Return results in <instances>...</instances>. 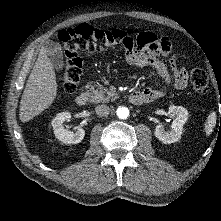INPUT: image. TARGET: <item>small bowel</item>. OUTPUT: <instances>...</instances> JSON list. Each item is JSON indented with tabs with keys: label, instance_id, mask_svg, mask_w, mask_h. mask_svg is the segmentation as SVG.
I'll use <instances>...</instances> for the list:
<instances>
[{
	"label": "small bowel",
	"instance_id": "obj_1",
	"mask_svg": "<svg viewBox=\"0 0 221 221\" xmlns=\"http://www.w3.org/2000/svg\"><path fill=\"white\" fill-rule=\"evenodd\" d=\"M125 48L126 61L135 66L153 68L166 82L171 83L174 88L183 90L187 85V74L183 68L178 66L174 58L171 59L168 68L158 57L169 56L171 43L167 37H159L152 32H141ZM146 102L153 101L163 96V91L145 88L139 91Z\"/></svg>",
	"mask_w": 221,
	"mask_h": 221
}]
</instances>
